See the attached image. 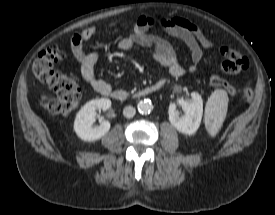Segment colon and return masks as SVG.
<instances>
[{"instance_id": "colon-1", "label": "colon", "mask_w": 275, "mask_h": 215, "mask_svg": "<svg viewBox=\"0 0 275 215\" xmlns=\"http://www.w3.org/2000/svg\"><path fill=\"white\" fill-rule=\"evenodd\" d=\"M221 51L223 61L219 70L210 75L209 83L215 87L229 89L242 100H250L253 97L251 88H232L219 74L220 72L230 75L240 74L248 67L247 58L233 48L224 47ZM63 58L64 53L58 46H49L38 55L32 70L35 77L56 94L49 104L50 110L56 114L67 116L79 105L82 89L75 79L55 70V65L60 63Z\"/></svg>"}]
</instances>
